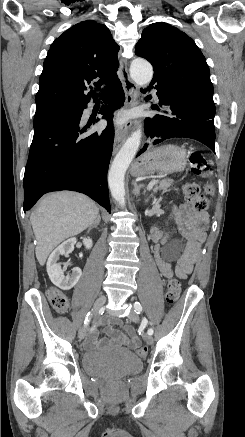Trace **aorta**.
<instances>
[{
    "mask_svg": "<svg viewBox=\"0 0 245 437\" xmlns=\"http://www.w3.org/2000/svg\"><path fill=\"white\" fill-rule=\"evenodd\" d=\"M130 75L139 86H146L152 80L153 68L148 61L136 58L131 63ZM141 135V128H138L131 134L114 158L109 170L108 184L110 192L114 200L121 207L125 206V173L138 151Z\"/></svg>",
    "mask_w": 245,
    "mask_h": 437,
    "instance_id": "obj_1",
    "label": "aorta"
}]
</instances>
